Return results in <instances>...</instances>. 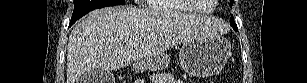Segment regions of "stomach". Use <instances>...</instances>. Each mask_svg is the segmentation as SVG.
<instances>
[{"mask_svg": "<svg viewBox=\"0 0 307 83\" xmlns=\"http://www.w3.org/2000/svg\"><path fill=\"white\" fill-rule=\"evenodd\" d=\"M231 54L230 43L223 37H200L184 43L180 49L179 62L191 76L205 77L218 73ZM169 64V57L159 54L143 61L139 70L159 71Z\"/></svg>", "mask_w": 307, "mask_h": 83, "instance_id": "0dacf381", "label": "stomach"}]
</instances>
